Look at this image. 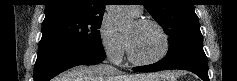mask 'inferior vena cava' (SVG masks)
Segmentation results:
<instances>
[{
	"label": "inferior vena cava",
	"instance_id": "obj_1",
	"mask_svg": "<svg viewBox=\"0 0 237 81\" xmlns=\"http://www.w3.org/2000/svg\"><path fill=\"white\" fill-rule=\"evenodd\" d=\"M107 59H108L109 62H111L109 55H108ZM108 68H109L111 71H116V68H114L111 64L108 65Z\"/></svg>",
	"mask_w": 237,
	"mask_h": 81
}]
</instances>
